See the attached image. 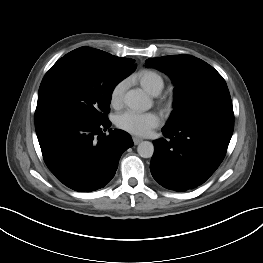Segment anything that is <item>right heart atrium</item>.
<instances>
[{
	"instance_id": "d8ad5b80",
	"label": "right heart atrium",
	"mask_w": 263,
	"mask_h": 263,
	"mask_svg": "<svg viewBox=\"0 0 263 263\" xmlns=\"http://www.w3.org/2000/svg\"><path fill=\"white\" fill-rule=\"evenodd\" d=\"M124 90H125V83L123 81L116 83L112 87L110 91V95H109V101H110L111 106L116 108L121 105Z\"/></svg>"
}]
</instances>
